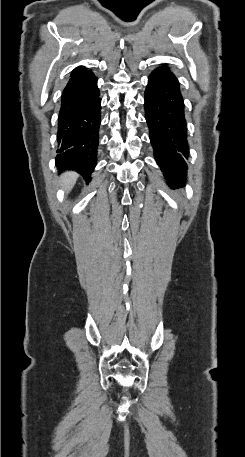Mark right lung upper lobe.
<instances>
[{"label": "right lung upper lobe", "instance_id": "right-lung-upper-lobe-1", "mask_svg": "<svg viewBox=\"0 0 245 457\" xmlns=\"http://www.w3.org/2000/svg\"><path fill=\"white\" fill-rule=\"evenodd\" d=\"M83 70H85V68L82 67V66H80V67L75 68V69L72 71V73L80 72V71H83Z\"/></svg>", "mask_w": 245, "mask_h": 457}]
</instances>
